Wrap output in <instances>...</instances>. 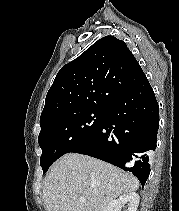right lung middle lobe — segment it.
<instances>
[{
  "mask_svg": "<svg viewBox=\"0 0 179 211\" xmlns=\"http://www.w3.org/2000/svg\"><path fill=\"white\" fill-rule=\"evenodd\" d=\"M107 108H92L53 120L41 128L39 145L43 173L62 155L87 142L101 126Z\"/></svg>",
  "mask_w": 179,
  "mask_h": 211,
  "instance_id": "obj_1",
  "label": "right lung middle lobe"
}]
</instances>
